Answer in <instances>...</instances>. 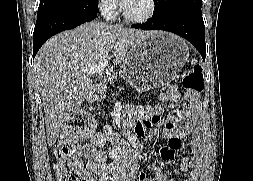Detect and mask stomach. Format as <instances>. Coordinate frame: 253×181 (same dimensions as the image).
Returning <instances> with one entry per match:
<instances>
[{
	"instance_id": "obj_1",
	"label": "stomach",
	"mask_w": 253,
	"mask_h": 181,
	"mask_svg": "<svg viewBox=\"0 0 253 181\" xmlns=\"http://www.w3.org/2000/svg\"><path fill=\"white\" fill-rule=\"evenodd\" d=\"M189 59L186 42L168 32L153 31L132 46L123 63V77L136 90L168 85Z\"/></svg>"
}]
</instances>
